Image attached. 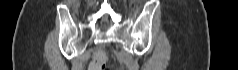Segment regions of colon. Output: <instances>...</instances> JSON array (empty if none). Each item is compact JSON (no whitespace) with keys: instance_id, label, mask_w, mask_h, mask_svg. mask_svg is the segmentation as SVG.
I'll list each match as a JSON object with an SVG mask.
<instances>
[{"instance_id":"obj_1","label":"colon","mask_w":238,"mask_h":70,"mask_svg":"<svg viewBox=\"0 0 238 70\" xmlns=\"http://www.w3.org/2000/svg\"><path fill=\"white\" fill-rule=\"evenodd\" d=\"M106 63H107L106 54L103 51L98 50L94 54V58L89 66V70H104L106 67Z\"/></svg>"}]
</instances>
